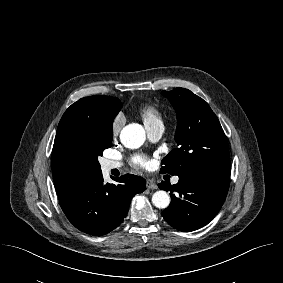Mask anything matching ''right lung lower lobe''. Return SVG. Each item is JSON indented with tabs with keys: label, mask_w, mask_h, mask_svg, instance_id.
I'll return each mask as SVG.
<instances>
[{
	"label": "right lung lower lobe",
	"mask_w": 283,
	"mask_h": 283,
	"mask_svg": "<svg viewBox=\"0 0 283 283\" xmlns=\"http://www.w3.org/2000/svg\"><path fill=\"white\" fill-rule=\"evenodd\" d=\"M114 180L117 184H104L100 171L58 195L62 210L76 228L101 236L122 223L131 199L145 190L146 181L132 174Z\"/></svg>",
	"instance_id": "right-lung-lower-lobe-1"
}]
</instances>
